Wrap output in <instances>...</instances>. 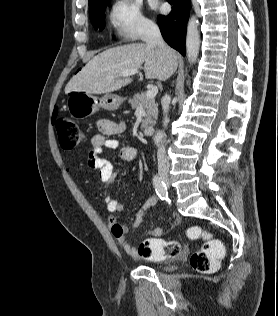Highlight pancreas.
Masks as SVG:
<instances>
[{"mask_svg": "<svg viewBox=\"0 0 278 316\" xmlns=\"http://www.w3.org/2000/svg\"><path fill=\"white\" fill-rule=\"evenodd\" d=\"M132 109H137L139 106H143L147 117L143 119L141 124V129H144L148 125H155L158 118V104L155 102L154 98H147L146 95L142 93H137L132 99H129Z\"/></svg>", "mask_w": 278, "mask_h": 316, "instance_id": "cf45deb5", "label": "pancreas"}]
</instances>
